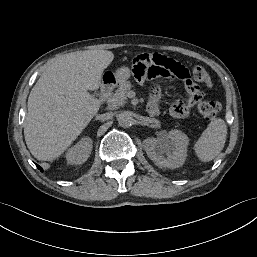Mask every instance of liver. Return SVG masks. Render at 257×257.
Instances as JSON below:
<instances>
[{"mask_svg": "<svg viewBox=\"0 0 257 257\" xmlns=\"http://www.w3.org/2000/svg\"><path fill=\"white\" fill-rule=\"evenodd\" d=\"M113 59L107 50L77 51L45 69L29 94L24 121L25 141L37 160L59 157L89 124L100 102L88 90L101 86Z\"/></svg>", "mask_w": 257, "mask_h": 257, "instance_id": "1", "label": "liver"}]
</instances>
